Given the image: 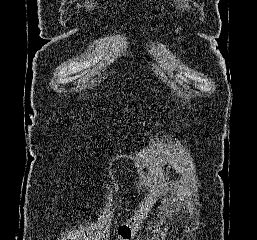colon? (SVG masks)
<instances>
[{
	"label": "colon",
	"mask_w": 257,
	"mask_h": 240,
	"mask_svg": "<svg viewBox=\"0 0 257 240\" xmlns=\"http://www.w3.org/2000/svg\"><path fill=\"white\" fill-rule=\"evenodd\" d=\"M166 175V170L163 169L159 173V178L155 182V185L151 187L149 192L146 194L145 198L141 201V203L137 206L134 213L129 217V219L123 223L117 231V239L116 240H131L136 230L141 225L142 221L146 217L151 202L154 198L156 191L161 186L162 179Z\"/></svg>",
	"instance_id": "1"
}]
</instances>
